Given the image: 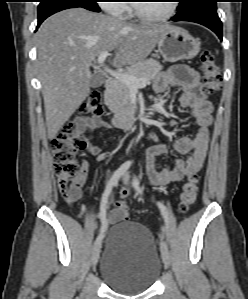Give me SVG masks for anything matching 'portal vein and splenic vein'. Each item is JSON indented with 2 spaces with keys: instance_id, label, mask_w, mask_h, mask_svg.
Wrapping results in <instances>:
<instances>
[{
  "instance_id": "1",
  "label": "portal vein and splenic vein",
  "mask_w": 248,
  "mask_h": 299,
  "mask_svg": "<svg viewBox=\"0 0 248 299\" xmlns=\"http://www.w3.org/2000/svg\"><path fill=\"white\" fill-rule=\"evenodd\" d=\"M108 56H109L108 51H103L102 53H100V55L98 56V63L100 65H103ZM104 70L107 73H109L112 77H114L115 79H117V80L121 81L122 83L128 85L131 89H137V88H140V87H144L148 83V80L146 78L138 79L135 76L115 72V71H113L111 69H108L106 67H104Z\"/></svg>"
}]
</instances>
